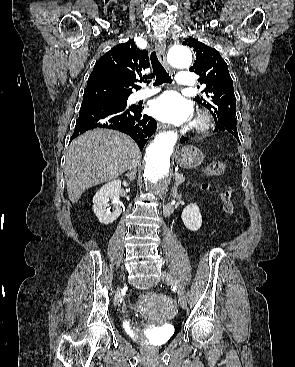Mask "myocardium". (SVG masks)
I'll list each match as a JSON object with an SVG mask.
<instances>
[{
	"instance_id": "myocardium-1",
	"label": "myocardium",
	"mask_w": 295,
	"mask_h": 367,
	"mask_svg": "<svg viewBox=\"0 0 295 367\" xmlns=\"http://www.w3.org/2000/svg\"><path fill=\"white\" fill-rule=\"evenodd\" d=\"M211 126V118L206 113H200L192 124V130L196 133H206Z\"/></svg>"
}]
</instances>
